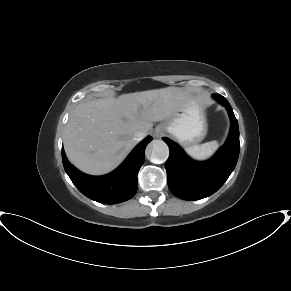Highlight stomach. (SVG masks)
I'll use <instances>...</instances> for the list:
<instances>
[{"mask_svg": "<svg viewBox=\"0 0 291 291\" xmlns=\"http://www.w3.org/2000/svg\"><path fill=\"white\" fill-rule=\"evenodd\" d=\"M161 126L184 146L201 142L207 134V121L199 100L193 96L183 97L175 114Z\"/></svg>", "mask_w": 291, "mask_h": 291, "instance_id": "obj_1", "label": "stomach"}]
</instances>
